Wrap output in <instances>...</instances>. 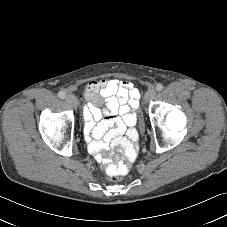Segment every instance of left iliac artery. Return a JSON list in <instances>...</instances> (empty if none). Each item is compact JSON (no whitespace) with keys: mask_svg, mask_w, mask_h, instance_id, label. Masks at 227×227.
<instances>
[{"mask_svg":"<svg viewBox=\"0 0 227 227\" xmlns=\"http://www.w3.org/2000/svg\"><path fill=\"white\" fill-rule=\"evenodd\" d=\"M163 88H164V86H163L162 84H158V85L156 86V90H157V91H162Z\"/></svg>","mask_w":227,"mask_h":227,"instance_id":"1","label":"left iliac artery"}]
</instances>
